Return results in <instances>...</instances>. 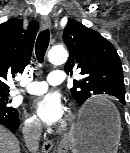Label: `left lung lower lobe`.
<instances>
[{
	"label": "left lung lower lobe",
	"instance_id": "0a47b994",
	"mask_svg": "<svg viewBox=\"0 0 130 153\" xmlns=\"http://www.w3.org/2000/svg\"><path fill=\"white\" fill-rule=\"evenodd\" d=\"M123 105H125V100L120 101ZM109 109H93V108H88L84 113L83 117L85 120H91L95 116H98L102 113H107Z\"/></svg>",
	"mask_w": 130,
	"mask_h": 153
}]
</instances>
